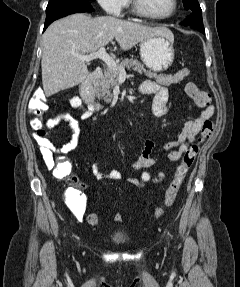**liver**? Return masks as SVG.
<instances>
[{
    "mask_svg": "<svg viewBox=\"0 0 240 287\" xmlns=\"http://www.w3.org/2000/svg\"><path fill=\"white\" fill-rule=\"evenodd\" d=\"M154 36L173 34L163 26L149 27L112 16L91 18L77 13L55 21L43 35L41 67L46 97L74 87L86 79V62L76 55L96 52L113 39L126 51Z\"/></svg>",
    "mask_w": 240,
    "mask_h": 287,
    "instance_id": "1",
    "label": "liver"
}]
</instances>
